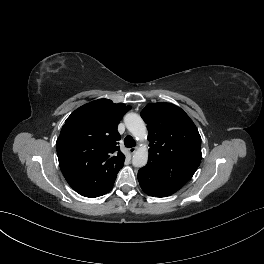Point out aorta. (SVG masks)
Wrapping results in <instances>:
<instances>
[{
  "mask_svg": "<svg viewBox=\"0 0 264 264\" xmlns=\"http://www.w3.org/2000/svg\"><path fill=\"white\" fill-rule=\"evenodd\" d=\"M127 129L137 140H144L147 136V130L143 119L136 113H128L124 117ZM148 161V149L146 146L139 147L133 155L132 164L135 167H143Z\"/></svg>",
  "mask_w": 264,
  "mask_h": 264,
  "instance_id": "obj_1",
  "label": "aorta"
}]
</instances>
